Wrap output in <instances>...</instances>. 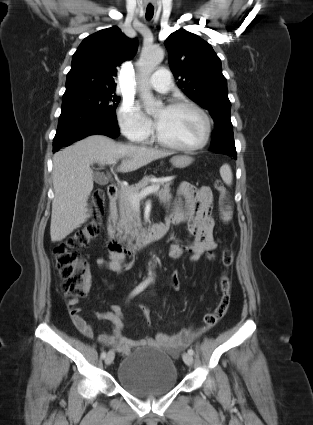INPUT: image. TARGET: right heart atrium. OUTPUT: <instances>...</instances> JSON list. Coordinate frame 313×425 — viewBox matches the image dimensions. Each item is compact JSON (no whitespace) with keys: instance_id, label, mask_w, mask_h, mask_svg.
<instances>
[{"instance_id":"right-heart-atrium-1","label":"right heart atrium","mask_w":313,"mask_h":425,"mask_svg":"<svg viewBox=\"0 0 313 425\" xmlns=\"http://www.w3.org/2000/svg\"><path fill=\"white\" fill-rule=\"evenodd\" d=\"M122 133L132 141L144 142L149 138L150 126L132 100H125L118 111Z\"/></svg>"}]
</instances>
